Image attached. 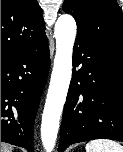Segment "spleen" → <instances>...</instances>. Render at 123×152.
Masks as SVG:
<instances>
[{
  "label": "spleen",
  "mask_w": 123,
  "mask_h": 152,
  "mask_svg": "<svg viewBox=\"0 0 123 152\" xmlns=\"http://www.w3.org/2000/svg\"><path fill=\"white\" fill-rule=\"evenodd\" d=\"M86 152H123V146L112 140L98 139L86 144Z\"/></svg>",
  "instance_id": "obj_1"
}]
</instances>
